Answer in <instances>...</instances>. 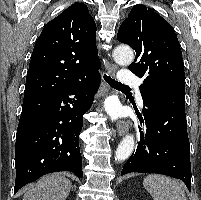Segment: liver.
Here are the masks:
<instances>
[{
  "label": "liver",
  "mask_w": 201,
  "mask_h": 200,
  "mask_svg": "<svg viewBox=\"0 0 201 200\" xmlns=\"http://www.w3.org/2000/svg\"><path fill=\"white\" fill-rule=\"evenodd\" d=\"M70 189L71 181L62 174L46 175L25 193L23 200H66Z\"/></svg>",
  "instance_id": "liver-1"
}]
</instances>
